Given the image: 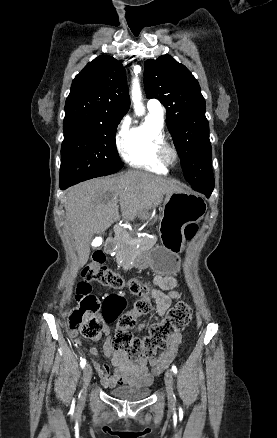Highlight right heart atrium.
I'll return each instance as SVG.
<instances>
[{"label": "right heart atrium", "instance_id": "right-heart-atrium-1", "mask_svg": "<svg viewBox=\"0 0 277 438\" xmlns=\"http://www.w3.org/2000/svg\"><path fill=\"white\" fill-rule=\"evenodd\" d=\"M125 132L124 126H121L119 129V135L123 134Z\"/></svg>", "mask_w": 277, "mask_h": 438}]
</instances>
